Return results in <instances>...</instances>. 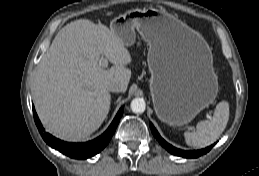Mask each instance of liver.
Listing matches in <instances>:
<instances>
[{"label":"liver","instance_id":"1","mask_svg":"<svg viewBox=\"0 0 259 176\" xmlns=\"http://www.w3.org/2000/svg\"><path fill=\"white\" fill-rule=\"evenodd\" d=\"M103 55L112 66L100 65ZM131 55L107 26L79 19L64 26L43 55L34 78L33 99L46 130L80 141L103 123L110 109V84L127 90Z\"/></svg>","mask_w":259,"mask_h":176}]
</instances>
